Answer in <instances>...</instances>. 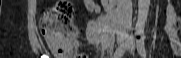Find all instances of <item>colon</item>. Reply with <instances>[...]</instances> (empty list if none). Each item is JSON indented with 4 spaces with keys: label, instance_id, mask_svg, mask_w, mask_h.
<instances>
[{
    "label": "colon",
    "instance_id": "colon-1",
    "mask_svg": "<svg viewBox=\"0 0 181 58\" xmlns=\"http://www.w3.org/2000/svg\"><path fill=\"white\" fill-rule=\"evenodd\" d=\"M41 33L52 52L71 58H86L76 52L77 29L73 22V9L69 1H58L43 15Z\"/></svg>",
    "mask_w": 181,
    "mask_h": 58
}]
</instances>
